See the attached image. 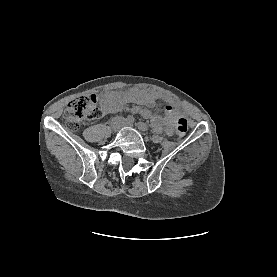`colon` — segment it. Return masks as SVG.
<instances>
[{
	"label": "colon",
	"instance_id": "colon-1",
	"mask_svg": "<svg viewBox=\"0 0 277 277\" xmlns=\"http://www.w3.org/2000/svg\"><path fill=\"white\" fill-rule=\"evenodd\" d=\"M100 114L97 98L94 95L79 96L68 104L64 120L72 129L79 128L85 121L93 120ZM188 131V121L180 118L176 121L173 134L176 138H182Z\"/></svg>",
	"mask_w": 277,
	"mask_h": 277
}]
</instances>
